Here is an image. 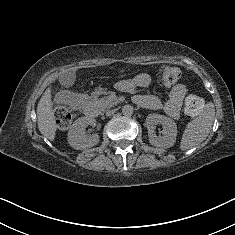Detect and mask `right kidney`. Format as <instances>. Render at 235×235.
Masks as SVG:
<instances>
[{
  "mask_svg": "<svg viewBox=\"0 0 235 235\" xmlns=\"http://www.w3.org/2000/svg\"><path fill=\"white\" fill-rule=\"evenodd\" d=\"M86 121L78 119L75 121L68 133V142L75 149L91 148L99 141L98 133L86 135Z\"/></svg>",
  "mask_w": 235,
  "mask_h": 235,
  "instance_id": "1",
  "label": "right kidney"
}]
</instances>
